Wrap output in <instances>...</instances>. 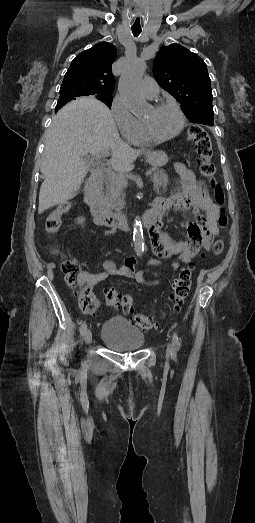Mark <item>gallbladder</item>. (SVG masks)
<instances>
[{"label":"gallbladder","mask_w":255,"mask_h":523,"mask_svg":"<svg viewBox=\"0 0 255 523\" xmlns=\"http://www.w3.org/2000/svg\"><path fill=\"white\" fill-rule=\"evenodd\" d=\"M83 160H84V162H86V164H87V162H90V158H85V156H84Z\"/></svg>","instance_id":"1"}]
</instances>
